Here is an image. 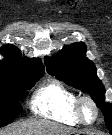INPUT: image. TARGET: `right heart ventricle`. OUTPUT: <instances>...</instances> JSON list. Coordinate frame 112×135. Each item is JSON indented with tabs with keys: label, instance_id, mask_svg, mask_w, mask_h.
<instances>
[{
	"label": "right heart ventricle",
	"instance_id": "e07e8e85",
	"mask_svg": "<svg viewBox=\"0 0 112 135\" xmlns=\"http://www.w3.org/2000/svg\"><path fill=\"white\" fill-rule=\"evenodd\" d=\"M76 98V94L63 84L51 81L36 90L31 100V109L41 117L77 126L81 123L75 114Z\"/></svg>",
	"mask_w": 112,
	"mask_h": 135
}]
</instances>
